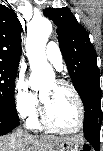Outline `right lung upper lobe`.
Wrapping results in <instances>:
<instances>
[{
	"mask_svg": "<svg viewBox=\"0 0 103 151\" xmlns=\"http://www.w3.org/2000/svg\"><path fill=\"white\" fill-rule=\"evenodd\" d=\"M22 26L14 11L0 5V63L19 65Z\"/></svg>",
	"mask_w": 103,
	"mask_h": 151,
	"instance_id": "obj_1",
	"label": "right lung upper lobe"
}]
</instances>
